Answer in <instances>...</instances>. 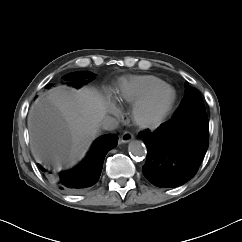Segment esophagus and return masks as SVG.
<instances>
[{"instance_id": "1", "label": "esophagus", "mask_w": 242, "mask_h": 242, "mask_svg": "<svg viewBox=\"0 0 242 242\" xmlns=\"http://www.w3.org/2000/svg\"><path fill=\"white\" fill-rule=\"evenodd\" d=\"M134 138V135L128 131L124 132L120 138L121 143H128Z\"/></svg>"}]
</instances>
